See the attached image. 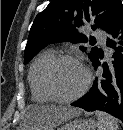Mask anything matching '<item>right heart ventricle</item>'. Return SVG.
<instances>
[{
	"label": "right heart ventricle",
	"mask_w": 123,
	"mask_h": 130,
	"mask_svg": "<svg viewBox=\"0 0 123 130\" xmlns=\"http://www.w3.org/2000/svg\"><path fill=\"white\" fill-rule=\"evenodd\" d=\"M55 55L54 50L46 49L38 54L30 66L28 82L32 99L37 103H49L54 101L45 87L44 75L48 64Z\"/></svg>",
	"instance_id": "right-heart-ventricle-1"
}]
</instances>
